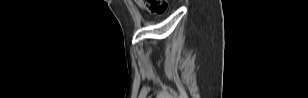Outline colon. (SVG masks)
Instances as JSON below:
<instances>
[{
	"label": "colon",
	"mask_w": 308,
	"mask_h": 98,
	"mask_svg": "<svg viewBox=\"0 0 308 98\" xmlns=\"http://www.w3.org/2000/svg\"><path fill=\"white\" fill-rule=\"evenodd\" d=\"M137 3L155 15H161L167 8V3L164 0H137Z\"/></svg>",
	"instance_id": "5ec220e1"
}]
</instances>
